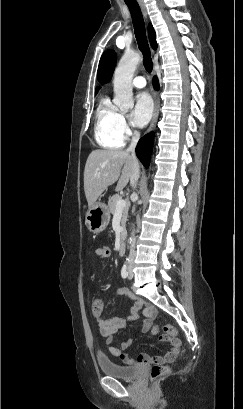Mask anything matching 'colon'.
Segmentation results:
<instances>
[{
    "instance_id": "5ec220e1",
    "label": "colon",
    "mask_w": 243,
    "mask_h": 409,
    "mask_svg": "<svg viewBox=\"0 0 243 409\" xmlns=\"http://www.w3.org/2000/svg\"><path fill=\"white\" fill-rule=\"evenodd\" d=\"M91 310L93 314L100 313L102 310V301L100 299H94L91 303ZM161 329L171 336H174L176 334V329L171 325H164L162 327L155 325L151 328V333L153 335H159ZM168 372L169 369L166 366L153 365L150 371V378L158 379L165 376Z\"/></svg>"
}]
</instances>
